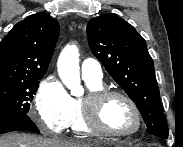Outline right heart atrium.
Returning <instances> with one entry per match:
<instances>
[{"label":"right heart atrium","mask_w":183,"mask_h":147,"mask_svg":"<svg viewBox=\"0 0 183 147\" xmlns=\"http://www.w3.org/2000/svg\"><path fill=\"white\" fill-rule=\"evenodd\" d=\"M37 122L55 133L63 132L72 118L71 96L54 75L46 76L39 84L35 95Z\"/></svg>","instance_id":"d8ad5b80"}]
</instances>
